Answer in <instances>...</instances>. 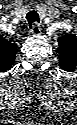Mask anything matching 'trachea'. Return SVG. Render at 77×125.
<instances>
[{"instance_id":"3493384b","label":"trachea","mask_w":77,"mask_h":125,"mask_svg":"<svg viewBox=\"0 0 77 125\" xmlns=\"http://www.w3.org/2000/svg\"><path fill=\"white\" fill-rule=\"evenodd\" d=\"M29 27L32 28L33 23L39 22V15L35 10L29 11L26 15Z\"/></svg>"}]
</instances>
